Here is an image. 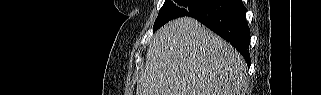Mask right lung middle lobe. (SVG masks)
Wrapping results in <instances>:
<instances>
[{"instance_id": "dd1d6c3e", "label": "right lung middle lobe", "mask_w": 321, "mask_h": 95, "mask_svg": "<svg viewBox=\"0 0 321 95\" xmlns=\"http://www.w3.org/2000/svg\"><path fill=\"white\" fill-rule=\"evenodd\" d=\"M210 1L211 0H165L154 23L153 30H157L172 19L193 13Z\"/></svg>"}]
</instances>
